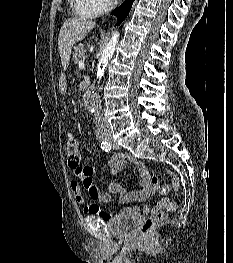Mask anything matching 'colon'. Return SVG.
<instances>
[{"instance_id": "5ec220e1", "label": "colon", "mask_w": 233, "mask_h": 263, "mask_svg": "<svg viewBox=\"0 0 233 263\" xmlns=\"http://www.w3.org/2000/svg\"><path fill=\"white\" fill-rule=\"evenodd\" d=\"M65 153L68 158L69 166L75 169L76 171L80 170V145L76 139L69 137L65 145ZM151 182L155 190H161L165 186L162 183H160L158 177L154 174L151 176ZM173 187L174 190H178L179 188V181L178 178L175 176H173ZM174 209L175 203L168 202L164 207V210H160L148 219H146L141 228V235L143 237H147L148 235H150V233L154 230L156 226L160 225L165 221V219L167 218V213L174 211Z\"/></svg>"}]
</instances>
